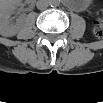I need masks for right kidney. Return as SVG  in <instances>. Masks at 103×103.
<instances>
[{
  "mask_svg": "<svg viewBox=\"0 0 103 103\" xmlns=\"http://www.w3.org/2000/svg\"><path fill=\"white\" fill-rule=\"evenodd\" d=\"M18 0H5L0 5V33L2 36H14L19 30V24H14L10 20L11 14L17 8Z\"/></svg>",
  "mask_w": 103,
  "mask_h": 103,
  "instance_id": "right-kidney-1",
  "label": "right kidney"
}]
</instances>
